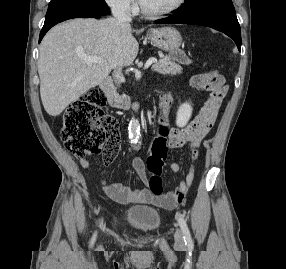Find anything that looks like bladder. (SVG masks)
I'll use <instances>...</instances> for the list:
<instances>
[{"instance_id": "bladder-1", "label": "bladder", "mask_w": 286, "mask_h": 269, "mask_svg": "<svg viewBox=\"0 0 286 269\" xmlns=\"http://www.w3.org/2000/svg\"><path fill=\"white\" fill-rule=\"evenodd\" d=\"M126 222L141 232L152 233L160 228L161 215L153 207H131L126 212Z\"/></svg>"}]
</instances>
